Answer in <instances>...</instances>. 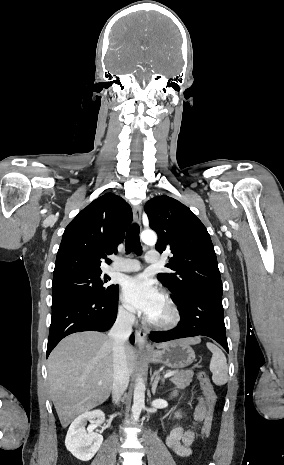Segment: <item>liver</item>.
<instances>
[{
    "label": "liver",
    "mask_w": 284,
    "mask_h": 465,
    "mask_svg": "<svg viewBox=\"0 0 284 465\" xmlns=\"http://www.w3.org/2000/svg\"><path fill=\"white\" fill-rule=\"evenodd\" d=\"M200 337L184 339L197 345ZM114 339L102 333H75L60 341L48 359L50 397L66 429L75 417L89 413L108 399L113 385ZM166 343L158 345L163 349ZM129 373L135 369V351L124 345Z\"/></svg>",
    "instance_id": "obj_1"
}]
</instances>
